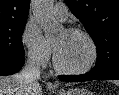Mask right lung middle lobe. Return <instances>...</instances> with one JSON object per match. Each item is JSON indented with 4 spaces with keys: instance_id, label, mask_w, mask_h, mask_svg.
I'll use <instances>...</instances> for the list:
<instances>
[{
    "instance_id": "1",
    "label": "right lung middle lobe",
    "mask_w": 119,
    "mask_h": 95,
    "mask_svg": "<svg viewBox=\"0 0 119 95\" xmlns=\"http://www.w3.org/2000/svg\"><path fill=\"white\" fill-rule=\"evenodd\" d=\"M26 21L0 26V57H22L21 37Z\"/></svg>"
}]
</instances>
